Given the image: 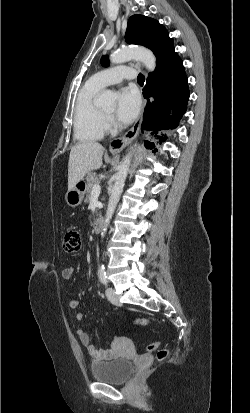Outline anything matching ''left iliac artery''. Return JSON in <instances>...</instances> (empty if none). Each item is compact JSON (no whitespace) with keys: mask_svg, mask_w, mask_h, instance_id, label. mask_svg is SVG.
Masks as SVG:
<instances>
[{"mask_svg":"<svg viewBox=\"0 0 250 413\" xmlns=\"http://www.w3.org/2000/svg\"><path fill=\"white\" fill-rule=\"evenodd\" d=\"M99 277H100L101 282H102L104 285H107V284H108V280H107V276H106V272H105V267H104V265H101V266H100V269H99Z\"/></svg>","mask_w":250,"mask_h":413,"instance_id":"left-iliac-artery-1","label":"left iliac artery"}]
</instances>
